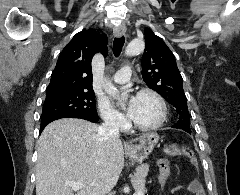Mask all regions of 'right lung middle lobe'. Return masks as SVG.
Segmentation results:
<instances>
[{
    "label": "right lung middle lobe",
    "instance_id": "1",
    "mask_svg": "<svg viewBox=\"0 0 240 195\" xmlns=\"http://www.w3.org/2000/svg\"><path fill=\"white\" fill-rule=\"evenodd\" d=\"M76 114L97 115L94 91L72 90L46 95L41 122Z\"/></svg>",
    "mask_w": 240,
    "mask_h": 195
}]
</instances>
